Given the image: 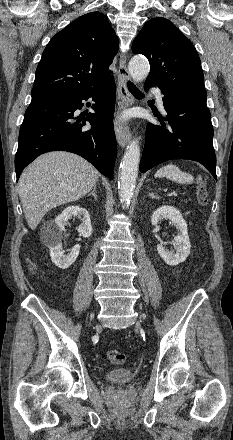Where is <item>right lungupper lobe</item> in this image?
Segmentation results:
<instances>
[{
	"label": "right lung upper lobe",
	"instance_id": "1",
	"mask_svg": "<svg viewBox=\"0 0 233 440\" xmlns=\"http://www.w3.org/2000/svg\"><path fill=\"white\" fill-rule=\"evenodd\" d=\"M118 38L104 14H85L58 32L36 69L32 100L84 92L110 80Z\"/></svg>",
	"mask_w": 233,
	"mask_h": 440
}]
</instances>
